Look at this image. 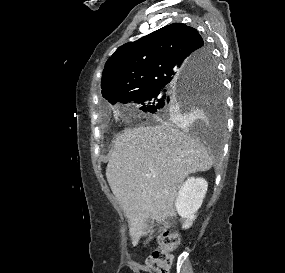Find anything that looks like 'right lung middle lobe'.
Wrapping results in <instances>:
<instances>
[{
    "label": "right lung middle lobe",
    "mask_w": 285,
    "mask_h": 273,
    "mask_svg": "<svg viewBox=\"0 0 285 273\" xmlns=\"http://www.w3.org/2000/svg\"><path fill=\"white\" fill-rule=\"evenodd\" d=\"M207 65L202 71L188 78V85H160L142 91L122 103L134 102L144 112L163 118H177L193 109L206 108L216 118V130L224 128V94L222 81L209 49L206 51Z\"/></svg>",
    "instance_id": "obj_1"
}]
</instances>
